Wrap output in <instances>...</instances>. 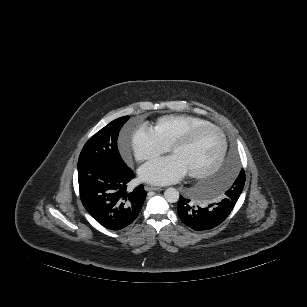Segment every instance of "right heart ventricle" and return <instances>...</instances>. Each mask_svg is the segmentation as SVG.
<instances>
[{
  "instance_id": "right-heart-ventricle-1",
  "label": "right heart ventricle",
  "mask_w": 307,
  "mask_h": 307,
  "mask_svg": "<svg viewBox=\"0 0 307 307\" xmlns=\"http://www.w3.org/2000/svg\"><path fill=\"white\" fill-rule=\"evenodd\" d=\"M207 123L209 121L206 119L194 115H165L156 121L153 130L161 142L169 147L176 138L190 128Z\"/></svg>"
}]
</instances>
